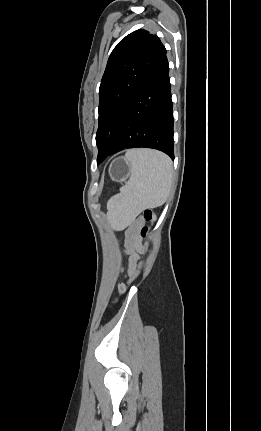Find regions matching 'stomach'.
Instances as JSON below:
<instances>
[{
	"instance_id": "obj_1",
	"label": "stomach",
	"mask_w": 261,
	"mask_h": 431,
	"mask_svg": "<svg viewBox=\"0 0 261 431\" xmlns=\"http://www.w3.org/2000/svg\"><path fill=\"white\" fill-rule=\"evenodd\" d=\"M131 174L130 163L122 157L114 159L109 166L110 178L115 182L126 181Z\"/></svg>"
}]
</instances>
